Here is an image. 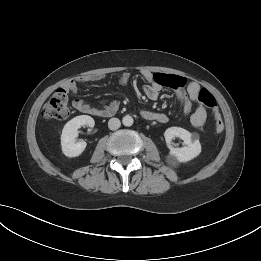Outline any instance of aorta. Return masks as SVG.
I'll use <instances>...</instances> for the list:
<instances>
[{
	"mask_svg": "<svg viewBox=\"0 0 261 261\" xmlns=\"http://www.w3.org/2000/svg\"><path fill=\"white\" fill-rule=\"evenodd\" d=\"M133 118L130 115H126L122 118V123L124 126L130 127L133 125Z\"/></svg>",
	"mask_w": 261,
	"mask_h": 261,
	"instance_id": "aorta-1",
	"label": "aorta"
}]
</instances>
